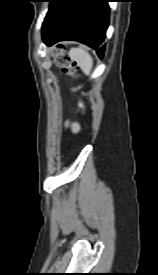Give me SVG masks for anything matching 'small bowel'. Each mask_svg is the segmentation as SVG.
I'll list each match as a JSON object with an SVG mask.
<instances>
[{"mask_svg":"<svg viewBox=\"0 0 158 275\" xmlns=\"http://www.w3.org/2000/svg\"><path fill=\"white\" fill-rule=\"evenodd\" d=\"M69 127L71 128V130L73 131H77L79 129V125L76 122H69Z\"/></svg>","mask_w":158,"mask_h":275,"instance_id":"obj_1","label":"small bowel"}]
</instances>
